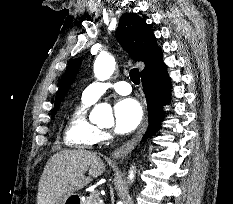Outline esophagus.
<instances>
[{
  "mask_svg": "<svg viewBox=\"0 0 233 204\" xmlns=\"http://www.w3.org/2000/svg\"><path fill=\"white\" fill-rule=\"evenodd\" d=\"M147 127V120H145L142 123L141 128L138 130V132L132 137V139H130L128 142H126L124 145H122L121 147L117 148L114 152H113V157L115 159H120L123 158L124 156H126L141 140L145 130Z\"/></svg>",
  "mask_w": 233,
  "mask_h": 204,
  "instance_id": "esophagus-1",
  "label": "esophagus"
}]
</instances>
